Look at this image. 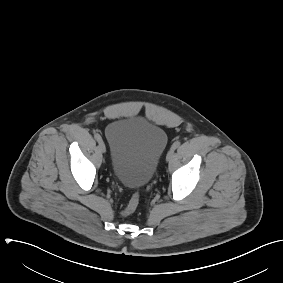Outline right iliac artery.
Segmentation results:
<instances>
[{"label": "right iliac artery", "instance_id": "obj_1", "mask_svg": "<svg viewBox=\"0 0 283 283\" xmlns=\"http://www.w3.org/2000/svg\"><path fill=\"white\" fill-rule=\"evenodd\" d=\"M95 139L100 142L102 140L101 136L99 134H95Z\"/></svg>", "mask_w": 283, "mask_h": 283}]
</instances>
